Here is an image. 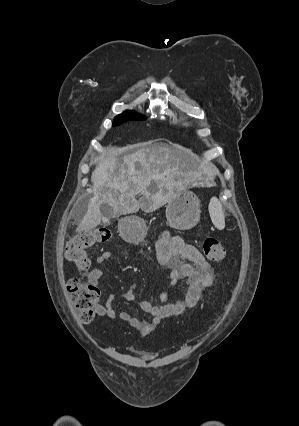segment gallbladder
Listing matches in <instances>:
<instances>
[{
	"label": "gallbladder",
	"instance_id": "gallbladder-1",
	"mask_svg": "<svg viewBox=\"0 0 299 426\" xmlns=\"http://www.w3.org/2000/svg\"><path fill=\"white\" fill-rule=\"evenodd\" d=\"M100 210H101L102 216L104 217L103 223L105 225H109L110 219L114 215L113 208L109 206L108 204H102L100 207Z\"/></svg>",
	"mask_w": 299,
	"mask_h": 426
}]
</instances>
